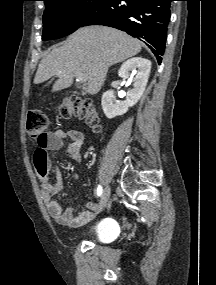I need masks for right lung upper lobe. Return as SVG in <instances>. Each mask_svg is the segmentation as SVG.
<instances>
[{
  "instance_id": "obj_1",
  "label": "right lung upper lobe",
  "mask_w": 216,
  "mask_h": 285,
  "mask_svg": "<svg viewBox=\"0 0 216 285\" xmlns=\"http://www.w3.org/2000/svg\"><path fill=\"white\" fill-rule=\"evenodd\" d=\"M45 3H47L48 1H50V0H43Z\"/></svg>"
}]
</instances>
